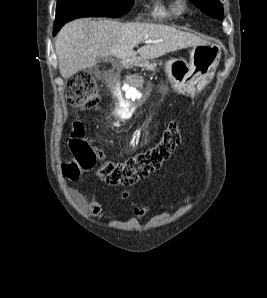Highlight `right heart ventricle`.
Returning a JSON list of instances; mask_svg holds the SVG:
<instances>
[{"instance_id": "1", "label": "right heart ventricle", "mask_w": 267, "mask_h": 298, "mask_svg": "<svg viewBox=\"0 0 267 298\" xmlns=\"http://www.w3.org/2000/svg\"><path fill=\"white\" fill-rule=\"evenodd\" d=\"M180 13L175 0H153L151 14L154 17L163 18Z\"/></svg>"}]
</instances>
